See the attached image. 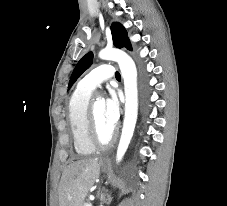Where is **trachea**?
Returning <instances> with one entry per match:
<instances>
[{"mask_svg": "<svg viewBox=\"0 0 227 206\" xmlns=\"http://www.w3.org/2000/svg\"><path fill=\"white\" fill-rule=\"evenodd\" d=\"M115 76H116V79H121V75L119 72H116Z\"/></svg>", "mask_w": 227, "mask_h": 206, "instance_id": "3493384b", "label": "trachea"}]
</instances>
